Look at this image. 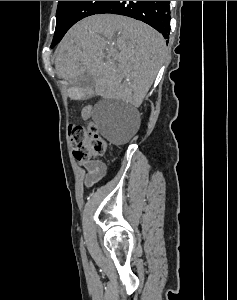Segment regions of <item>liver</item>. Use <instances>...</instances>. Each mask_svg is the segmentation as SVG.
I'll return each instance as SVG.
<instances>
[{"instance_id": "liver-1", "label": "liver", "mask_w": 237, "mask_h": 300, "mask_svg": "<svg viewBox=\"0 0 237 300\" xmlns=\"http://www.w3.org/2000/svg\"><path fill=\"white\" fill-rule=\"evenodd\" d=\"M166 43L155 29L121 15H92L66 33L55 51L60 77L92 73L96 93L140 107L163 65Z\"/></svg>"}]
</instances>
